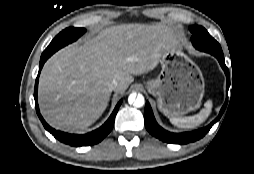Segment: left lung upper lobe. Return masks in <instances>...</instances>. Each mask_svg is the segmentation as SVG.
<instances>
[{"label":"left lung upper lobe","instance_id":"1","mask_svg":"<svg viewBox=\"0 0 254 174\" xmlns=\"http://www.w3.org/2000/svg\"><path fill=\"white\" fill-rule=\"evenodd\" d=\"M189 29L192 33V44L196 49L208 52L212 55L223 54L219 43L206 31L205 28L194 25L191 26Z\"/></svg>","mask_w":254,"mask_h":174}]
</instances>
